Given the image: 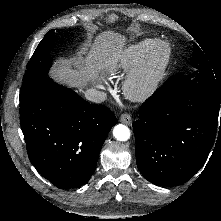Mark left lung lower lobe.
<instances>
[{
    "label": "left lung lower lobe",
    "mask_w": 221,
    "mask_h": 221,
    "mask_svg": "<svg viewBox=\"0 0 221 221\" xmlns=\"http://www.w3.org/2000/svg\"><path fill=\"white\" fill-rule=\"evenodd\" d=\"M220 104L218 77L200 73L171 76L145 101L133 123L137 167L142 175L161 186L192 178L221 130Z\"/></svg>",
    "instance_id": "obj_1"
}]
</instances>
